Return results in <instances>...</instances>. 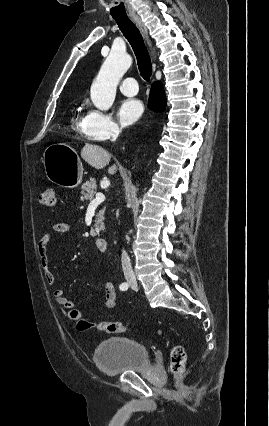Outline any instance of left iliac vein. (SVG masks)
<instances>
[{
  "instance_id": "obj_1",
  "label": "left iliac vein",
  "mask_w": 269,
  "mask_h": 426,
  "mask_svg": "<svg viewBox=\"0 0 269 426\" xmlns=\"http://www.w3.org/2000/svg\"><path fill=\"white\" fill-rule=\"evenodd\" d=\"M131 288H132L133 290L137 291V290H138L137 283H136V282H133V283L131 284Z\"/></svg>"
}]
</instances>
